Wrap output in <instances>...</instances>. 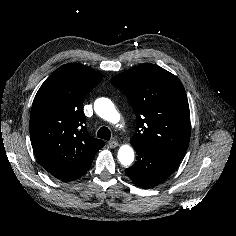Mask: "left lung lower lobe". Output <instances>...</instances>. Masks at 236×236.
Instances as JSON below:
<instances>
[{
    "instance_id": "obj_1",
    "label": "left lung lower lobe",
    "mask_w": 236,
    "mask_h": 236,
    "mask_svg": "<svg viewBox=\"0 0 236 236\" xmlns=\"http://www.w3.org/2000/svg\"><path fill=\"white\" fill-rule=\"evenodd\" d=\"M137 161L126 169V174L139 187L148 189L164 181L182 158L153 148L133 145Z\"/></svg>"
}]
</instances>
